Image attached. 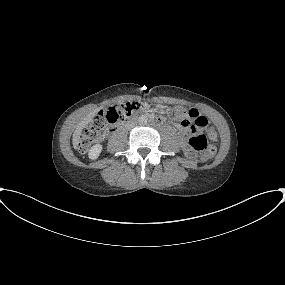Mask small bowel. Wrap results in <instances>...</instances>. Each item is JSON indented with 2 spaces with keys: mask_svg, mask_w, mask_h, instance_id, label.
<instances>
[{
  "mask_svg": "<svg viewBox=\"0 0 285 285\" xmlns=\"http://www.w3.org/2000/svg\"><path fill=\"white\" fill-rule=\"evenodd\" d=\"M200 115L201 114L199 113V111L197 109H191V110L188 111V113H186V114L181 116V121L183 122L186 119H195L196 117H199ZM181 141L182 142L184 141V137L183 136L181 137ZM182 148L184 150V145L183 144H182ZM184 153H185L186 156H189V157L193 156V154H191V153H187L185 151H184Z\"/></svg>",
  "mask_w": 285,
  "mask_h": 285,
  "instance_id": "1",
  "label": "small bowel"
}]
</instances>
